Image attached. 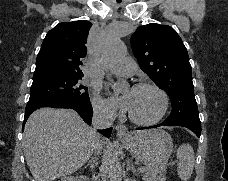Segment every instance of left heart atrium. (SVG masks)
<instances>
[{
	"instance_id": "39dd6f15",
	"label": "left heart atrium",
	"mask_w": 228,
	"mask_h": 181,
	"mask_svg": "<svg viewBox=\"0 0 228 181\" xmlns=\"http://www.w3.org/2000/svg\"><path fill=\"white\" fill-rule=\"evenodd\" d=\"M120 106L125 109H129L130 107V98L128 95H125V97L120 101Z\"/></svg>"
}]
</instances>
